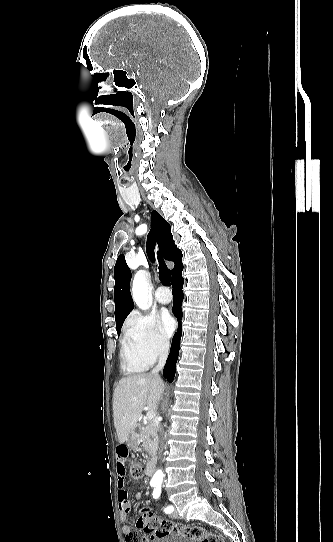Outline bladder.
Listing matches in <instances>:
<instances>
[{"label": "bladder", "instance_id": "31cf9c89", "mask_svg": "<svg viewBox=\"0 0 333 542\" xmlns=\"http://www.w3.org/2000/svg\"><path fill=\"white\" fill-rule=\"evenodd\" d=\"M147 542H197L195 539L189 538L187 535L180 534H165L156 538L149 539Z\"/></svg>", "mask_w": 333, "mask_h": 542}]
</instances>
